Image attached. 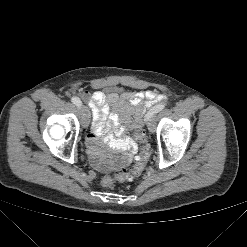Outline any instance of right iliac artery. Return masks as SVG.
I'll return each mask as SVG.
<instances>
[{"mask_svg": "<svg viewBox=\"0 0 247 247\" xmlns=\"http://www.w3.org/2000/svg\"><path fill=\"white\" fill-rule=\"evenodd\" d=\"M71 101L73 102V104H75L76 106H81L82 102L78 97H72Z\"/></svg>", "mask_w": 247, "mask_h": 247, "instance_id": "obj_1", "label": "right iliac artery"}]
</instances>
